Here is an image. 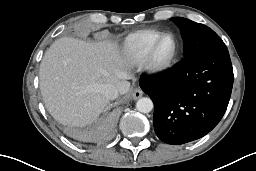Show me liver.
Here are the masks:
<instances>
[{
	"label": "liver",
	"mask_w": 256,
	"mask_h": 171,
	"mask_svg": "<svg viewBox=\"0 0 256 171\" xmlns=\"http://www.w3.org/2000/svg\"><path fill=\"white\" fill-rule=\"evenodd\" d=\"M128 68V60L116 44L60 38L52 43L40 64V90L45 106L63 125L82 121L107 102L103 85H115L120 94L129 91L132 75Z\"/></svg>",
	"instance_id": "6515ba94"
}]
</instances>
